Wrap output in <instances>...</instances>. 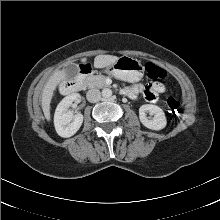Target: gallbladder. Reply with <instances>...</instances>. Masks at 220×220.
<instances>
[{"mask_svg": "<svg viewBox=\"0 0 220 220\" xmlns=\"http://www.w3.org/2000/svg\"><path fill=\"white\" fill-rule=\"evenodd\" d=\"M78 70H79V67L75 63L68 65L66 68V72L71 78H74L77 75Z\"/></svg>", "mask_w": 220, "mask_h": 220, "instance_id": "1", "label": "gallbladder"}]
</instances>
